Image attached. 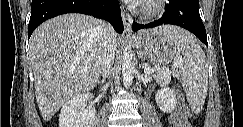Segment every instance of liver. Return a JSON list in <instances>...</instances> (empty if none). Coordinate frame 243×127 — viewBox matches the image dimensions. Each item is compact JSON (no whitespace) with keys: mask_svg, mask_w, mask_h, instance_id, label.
Masks as SVG:
<instances>
[{"mask_svg":"<svg viewBox=\"0 0 243 127\" xmlns=\"http://www.w3.org/2000/svg\"><path fill=\"white\" fill-rule=\"evenodd\" d=\"M105 35L100 20L83 14L57 16L33 32L29 52L36 101L45 121L65 102L96 86ZM112 39L116 46V33Z\"/></svg>","mask_w":243,"mask_h":127,"instance_id":"1","label":"liver"}]
</instances>
